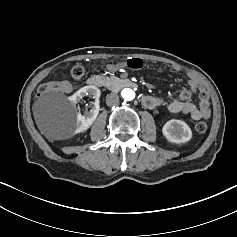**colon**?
I'll list each match as a JSON object with an SVG mask.
<instances>
[{"mask_svg": "<svg viewBox=\"0 0 237 237\" xmlns=\"http://www.w3.org/2000/svg\"><path fill=\"white\" fill-rule=\"evenodd\" d=\"M126 66L133 69V70H139L143 67V61L138 58H131L126 61ZM71 74L75 78H80L84 75V68L81 65H75L72 70ZM52 90V86L50 83L43 84L38 89V96H42ZM196 131L200 134H203L207 131L208 125L206 122L201 121L196 124Z\"/></svg>", "mask_w": 237, "mask_h": 237, "instance_id": "1", "label": "colon"}]
</instances>
